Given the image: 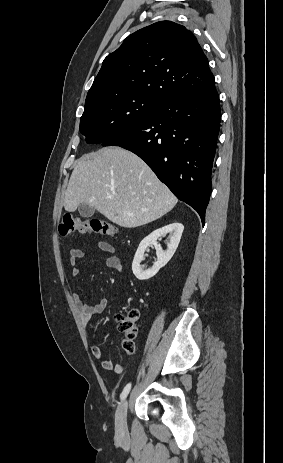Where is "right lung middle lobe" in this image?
I'll return each mask as SVG.
<instances>
[{
  "label": "right lung middle lobe",
  "mask_w": 283,
  "mask_h": 463,
  "mask_svg": "<svg viewBox=\"0 0 283 463\" xmlns=\"http://www.w3.org/2000/svg\"><path fill=\"white\" fill-rule=\"evenodd\" d=\"M159 102L145 96L119 93L85 102L80 132L88 143H103L144 121Z\"/></svg>",
  "instance_id": "right-lung-middle-lobe-1"
}]
</instances>
